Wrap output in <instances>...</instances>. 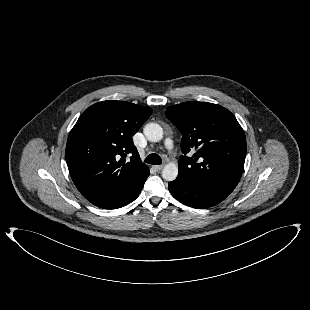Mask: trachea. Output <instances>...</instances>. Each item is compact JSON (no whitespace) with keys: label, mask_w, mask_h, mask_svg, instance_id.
Returning <instances> with one entry per match:
<instances>
[{"label":"trachea","mask_w":310,"mask_h":310,"mask_svg":"<svg viewBox=\"0 0 310 310\" xmlns=\"http://www.w3.org/2000/svg\"><path fill=\"white\" fill-rule=\"evenodd\" d=\"M145 162L152 165H160L162 164V159L158 154L152 153L146 157Z\"/></svg>","instance_id":"3493384b"}]
</instances>
